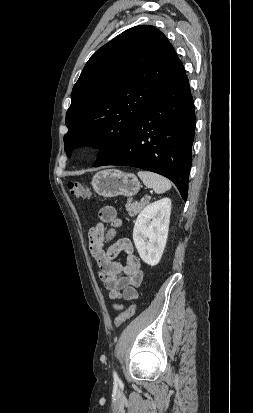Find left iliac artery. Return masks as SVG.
<instances>
[{"label": "left iliac artery", "mask_w": 253, "mask_h": 413, "mask_svg": "<svg viewBox=\"0 0 253 413\" xmlns=\"http://www.w3.org/2000/svg\"><path fill=\"white\" fill-rule=\"evenodd\" d=\"M113 377H114V380L115 381H118L119 379H118V375H117V373L115 372V371H113Z\"/></svg>", "instance_id": "obj_1"}]
</instances>
